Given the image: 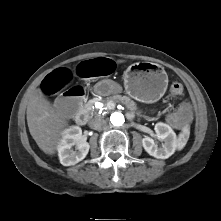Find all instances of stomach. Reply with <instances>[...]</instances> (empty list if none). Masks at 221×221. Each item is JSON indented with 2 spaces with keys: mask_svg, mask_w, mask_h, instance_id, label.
Masks as SVG:
<instances>
[{
  "mask_svg": "<svg viewBox=\"0 0 221 221\" xmlns=\"http://www.w3.org/2000/svg\"><path fill=\"white\" fill-rule=\"evenodd\" d=\"M126 93L137 101L154 103L165 93L168 76L156 63L138 62L130 65L123 74Z\"/></svg>",
  "mask_w": 221,
  "mask_h": 221,
  "instance_id": "stomach-1",
  "label": "stomach"
}]
</instances>
